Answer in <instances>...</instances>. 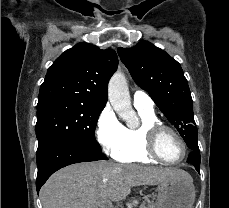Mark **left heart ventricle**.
<instances>
[{"instance_id":"obj_1","label":"left heart ventricle","mask_w":229,"mask_h":208,"mask_svg":"<svg viewBox=\"0 0 229 208\" xmlns=\"http://www.w3.org/2000/svg\"><path fill=\"white\" fill-rule=\"evenodd\" d=\"M175 139L171 138L170 131H164L160 139H157V152L163 160H179L185 154V147H178Z\"/></svg>"}]
</instances>
